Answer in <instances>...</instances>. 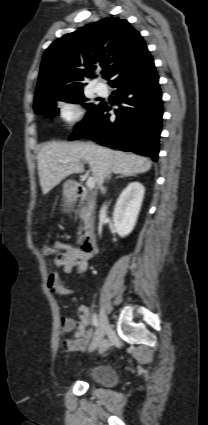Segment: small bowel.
<instances>
[{"label":"small bowel","instance_id":"small-bowel-1","mask_svg":"<svg viewBox=\"0 0 208 425\" xmlns=\"http://www.w3.org/2000/svg\"><path fill=\"white\" fill-rule=\"evenodd\" d=\"M54 249L60 253L54 259L56 270L49 275L47 286L54 294L68 296L72 293V290L63 284L59 273L71 274L74 268L79 274L85 273L89 268V260L92 255H88L82 249L64 242H56ZM77 313V319L72 317H62L60 319L61 331L73 332V336L63 342L64 350L68 353L85 350L93 337L88 307L85 305L79 306Z\"/></svg>","mask_w":208,"mask_h":425}]
</instances>
